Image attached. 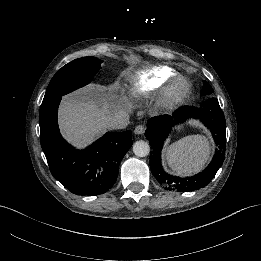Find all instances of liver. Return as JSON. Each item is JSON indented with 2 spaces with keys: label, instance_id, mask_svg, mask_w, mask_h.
<instances>
[{
  "label": "liver",
  "instance_id": "obj_1",
  "mask_svg": "<svg viewBox=\"0 0 261 261\" xmlns=\"http://www.w3.org/2000/svg\"><path fill=\"white\" fill-rule=\"evenodd\" d=\"M119 82L110 86L89 84L63 97L59 108V126L68 142L84 148L100 137L109 121L118 113H131L133 104L118 97Z\"/></svg>",
  "mask_w": 261,
  "mask_h": 261
}]
</instances>
